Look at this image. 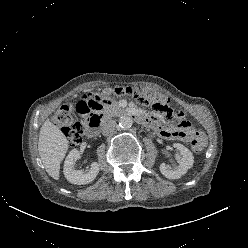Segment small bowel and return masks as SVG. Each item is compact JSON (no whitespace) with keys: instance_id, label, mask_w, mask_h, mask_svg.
<instances>
[{"instance_id":"small-bowel-1","label":"small bowel","mask_w":248,"mask_h":248,"mask_svg":"<svg viewBox=\"0 0 248 248\" xmlns=\"http://www.w3.org/2000/svg\"><path fill=\"white\" fill-rule=\"evenodd\" d=\"M150 120L151 126L164 139L176 141H189L197 137L205 139V135L194 130L190 122L185 119L180 120L176 126L162 125L155 118H150Z\"/></svg>"}]
</instances>
